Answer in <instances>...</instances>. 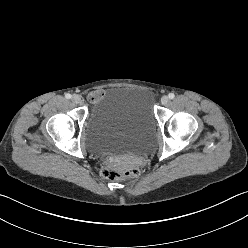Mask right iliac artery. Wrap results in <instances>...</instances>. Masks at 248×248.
<instances>
[{
  "instance_id": "obj_1",
  "label": "right iliac artery",
  "mask_w": 248,
  "mask_h": 248,
  "mask_svg": "<svg viewBox=\"0 0 248 248\" xmlns=\"http://www.w3.org/2000/svg\"><path fill=\"white\" fill-rule=\"evenodd\" d=\"M65 98H66V99H70V98H71V94L66 93V94H65Z\"/></svg>"
}]
</instances>
